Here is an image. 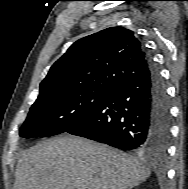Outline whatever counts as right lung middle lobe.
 Listing matches in <instances>:
<instances>
[{
  "label": "right lung middle lobe",
  "mask_w": 188,
  "mask_h": 189,
  "mask_svg": "<svg viewBox=\"0 0 188 189\" xmlns=\"http://www.w3.org/2000/svg\"><path fill=\"white\" fill-rule=\"evenodd\" d=\"M111 91L92 88L40 96L31 106L19 135L48 137L66 132L85 119Z\"/></svg>",
  "instance_id": "dd1d6c3e"
}]
</instances>
